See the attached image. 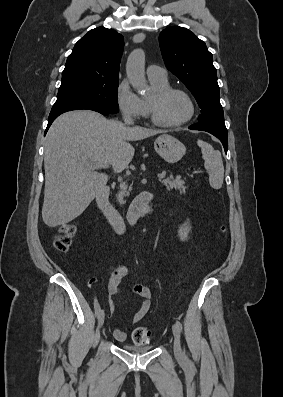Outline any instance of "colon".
I'll list each match as a JSON object with an SVG mask.
<instances>
[{"label":"colon","mask_w":283,"mask_h":397,"mask_svg":"<svg viewBox=\"0 0 283 397\" xmlns=\"http://www.w3.org/2000/svg\"><path fill=\"white\" fill-rule=\"evenodd\" d=\"M76 234V226L72 223L64 224L56 235L53 245L59 252L68 251ZM152 332L145 327H138L133 331L132 340L135 345L143 346L151 342Z\"/></svg>","instance_id":"colon-1"}]
</instances>
